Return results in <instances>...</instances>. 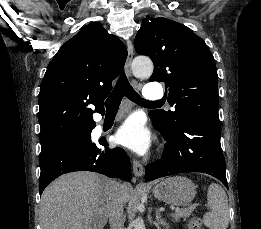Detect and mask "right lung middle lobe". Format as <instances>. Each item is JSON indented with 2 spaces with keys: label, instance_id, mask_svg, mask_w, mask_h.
Instances as JSON below:
<instances>
[{
  "label": "right lung middle lobe",
  "instance_id": "right-lung-middle-lobe-1",
  "mask_svg": "<svg viewBox=\"0 0 261 229\" xmlns=\"http://www.w3.org/2000/svg\"><path fill=\"white\" fill-rule=\"evenodd\" d=\"M82 137H88L91 138V134L89 132L82 133L74 138H82ZM50 135H40V142H41V153L48 151L52 148V146L49 144Z\"/></svg>",
  "mask_w": 261,
  "mask_h": 229
}]
</instances>
